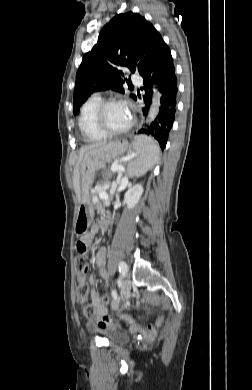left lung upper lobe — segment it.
I'll list each match as a JSON object with an SVG mask.
<instances>
[{"label": "left lung upper lobe", "mask_w": 252, "mask_h": 390, "mask_svg": "<svg viewBox=\"0 0 252 390\" xmlns=\"http://www.w3.org/2000/svg\"><path fill=\"white\" fill-rule=\"evenodd\" d=\"M162 41L159 32L140 14H117L83 57L76 74L73 112L77 113L93 92L112 89L124 93L122 68L141 75ZM131 97L137 99L133 94Z\"/></svg>", "instance_id": "left-lung-upper-lobe-1"}]
</instances>
